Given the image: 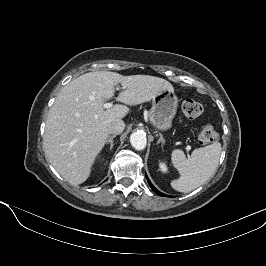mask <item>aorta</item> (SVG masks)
<instances>
[{
    "label": "aorta",
    "instance_id": "762f6f07",
    "mask_svg": "<svg viewBox=\"0 0 266 266\" xmlns=\"http://www.w3.org/2000/svg\"><path fill=\"white\" fill-rule=\"evenodd\" d=\"M130 142L136 150H143L146 147L147 139L143 133L134 132L130 136Z\"/></svg>",
    "mask_w": 266,
    "mask_h": 266
}]
</instances>
